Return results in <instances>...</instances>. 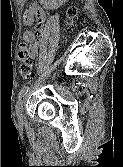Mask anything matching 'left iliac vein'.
Instances as JSON below:
<instances>
[{"label": "left iliac vein", "instance_id": "left-iliac-vein-1", "mask_svg": "<svg viewBox=\"0 0 123 167\" xmlns=\"http://www.w3.org/2000/svg\"><path fill=\"white\" fill-rule=\"evenodd\" d=\"M24 102L25 99L21 98L18 100L17 104H16V114H17V118L20 122L23 121V106H24Z\"/></svg>", "mask_w": 123, "mask_h": 167}]
</instances>
